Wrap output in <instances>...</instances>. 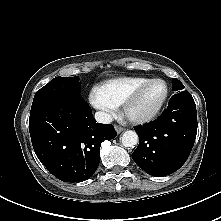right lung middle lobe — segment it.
<instances>
[{"instance_id": "dd1d6c3e", "label": "right lung middle lobe", "mask_w": 221, "mask_h": 221, "mask_svg": "<svg viewBox=\"0 0 221 221\" xmlns=\"http://www.w3.org/2000/svg\"><path fill=\"white\" fill-rule=\"evenodd\" d=\"M78 77H55L39 89L33 99L32 107L44 101L65 96L80 95Z\"/></svg>"}]
</instances>
